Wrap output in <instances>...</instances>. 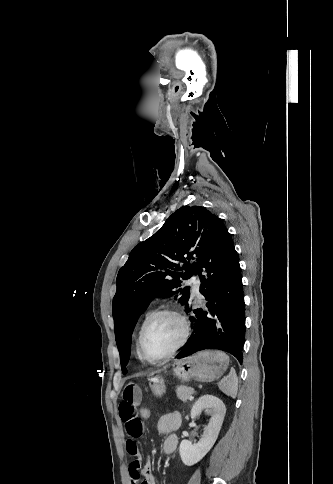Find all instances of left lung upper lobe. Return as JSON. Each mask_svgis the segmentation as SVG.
<instances>
[{
	"mask_svg": "<svg viewBox=\"0 0 333 484\" xmlns=\"http://www.w3.org/2000/svg\"><path fill=\"white\" fill-rule=\"evenodd\" d=\"M215 218L201 206L181 207L154 235L131 251L119 270L113 318L124 374L133 329L151 299L160 293L188 304L190 288H183L182 279L192 276L195 260Z\"/></svg>",
	"mask_w": 333,
	"mask_h": 484,
	"instance_id": "1",
	"label": "left lung upper lobe"
}]
</instances>
